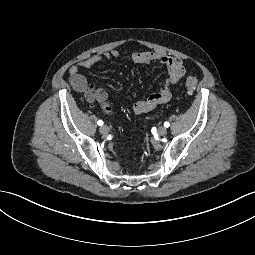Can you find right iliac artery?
<instances>
[{"instance_id": "82829eb1", "label": "right iliac artery", "mask_w": 255, "mask_h": 255, "mask_svg": "<svg viewBox=\"0 0 255 255\" xmlns=\"http://www.w3.org/2000/svg\"><path fill=\"white\" fill-rule=\"evenodd\" d=\"M97 124H98L99 126H102V125H103V121H102V120H99V121L97 122Z\"/></svg>"}]
</instances>
